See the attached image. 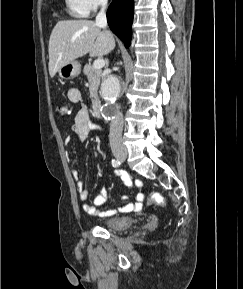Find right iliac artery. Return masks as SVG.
<instances>
[{
  "mask_svg": "<svg viewBox=\"0 0 243 289\" xmlns=\"http://www.w3.org/2000/svg\"><path fill=\"white\" fill-rule=\"evenodd\" d=\"M119 165H120V161L119 160H115V159L112 160V166L113 167H119Z\"/></svg>",
  "mask_w": 243,
  "mask_h": 289,
  "instance_id": "right-iliac-artery-1",
  "label": "right iliac artery"
}]
</instances>
